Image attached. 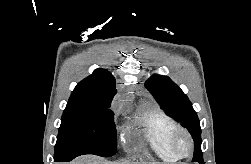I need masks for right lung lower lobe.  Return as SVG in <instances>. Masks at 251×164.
Listing matches in <instances>:
<instances>
[{"mask_svg":"<svg viewBox=\"0 0 251 164\" xmlns=\"http://www.w3.org/2000/svg\"><path fill=\"white\" fill-rule=\"evenodd\" d=\"M74 158H75L74 156H58V157H54V161L55 162H69Z\"/></svg>","mask_w":251,"mask_h":164,"instance_id":"98d812e1","label":"right lung lower lobe"}]
</instances>
